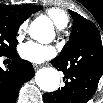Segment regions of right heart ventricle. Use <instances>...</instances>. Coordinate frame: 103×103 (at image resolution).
<instances>
[{
  "instance_id": "right-heart-ventricle-1",
  "label": "right heart ventricle",
  "mask_w": 103,
  "mask_h": 103,
  "mask_svg": "<svg viewBox=\"0 0 103 103\" xmlns=\"http://www.w3.org/2000/svg\"><path fill=\"white\" fill-rule=\"evenodd\" d=\"M47 15L54 22L57 28L63 29L67 26L69 18L67 14L59 8H51L47 10Z\"/></svg>"
}]
</instances>
